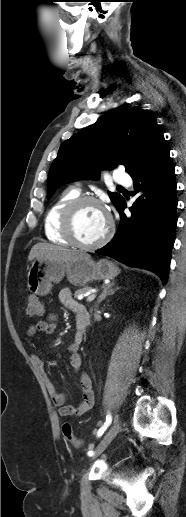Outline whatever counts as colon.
Wrapping results in <instances>:
<instances>
[{
    "mask_svg": "<svg viewBox=\"0 0 186 517\" xmlns=\"http://www.w3.org/2000/svg\"><path fill=\"white\" fill-rule=\"evenodd\" d=\"M44 307L41 300L36 296H30L26 301V313L28 316H39L43 314ZM62 434L65 440L71 443L74 447L80 448L83 442L75 437L70 423H64L62 425Z\"/></svg>",
    "mask_w": 186,
    "mask_h": 517,
    "instance_id": "1",
    "label": "colon"
}]
</instances>
